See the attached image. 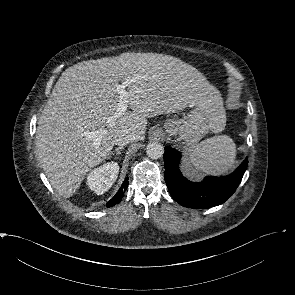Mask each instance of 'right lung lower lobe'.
Masks as SVG:
<instances>
[{
  "label": "right lung lower lobe",
  "instance_id": "98d812e1",
  "mask_svg": "<svg viewBox=\"0 0 295 295\" xmlns=\"http://www.w3.org/2000/svg\"><path fill=\"white\" fill-rule=\"evenodd\" d=\"M127 187H128V178L124 180L117 194L107 203V207L114 206L115 204L120 202V200L124 196V192L126 191Z\"/></svg>",
  "mask_w": 295,
  "mask_h": 295
}]
</instances>
